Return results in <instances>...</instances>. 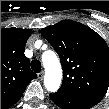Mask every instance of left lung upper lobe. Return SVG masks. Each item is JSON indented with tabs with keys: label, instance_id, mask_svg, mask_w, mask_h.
Here are the masks:
<instances>
[{
	"label": "left lung upper lobe",
	"instance_id": "obj_1",
	"mask_svg": "<svg viewBox=\"0 0 109 109\" xmlns=\"http://www.w3.org/2000/svg\"><path fill=\"white\" fill-rule=\"evenodd\" d=\"M63 68L59 91L96 105L109 87V48L88 26L66 20L41 29Z\"/></svg>",
	"mask_w": 109,
	"mask_h": 109
}]
</instances>
